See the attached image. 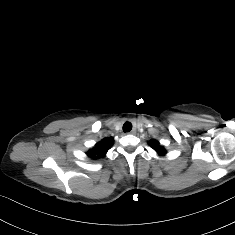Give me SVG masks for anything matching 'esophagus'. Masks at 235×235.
<instances>
[{
  "instance_id": "esophagus-1",
  "label": "esophagus",
  "mask_w": 235,
  "mask_h": 235,
  "mask_svg": "<svg viewBox=\"0 0 235 235\" xmlns=\"http://www.w3.org/2000/svg\"><path fill=\"white\" fill-rule=\"evenodd\" d=\"M136 132H137V130H136L135 128H133V129L131 130L130 134L134 135V134H136Z\"/></svg>"
}]
</instances>
